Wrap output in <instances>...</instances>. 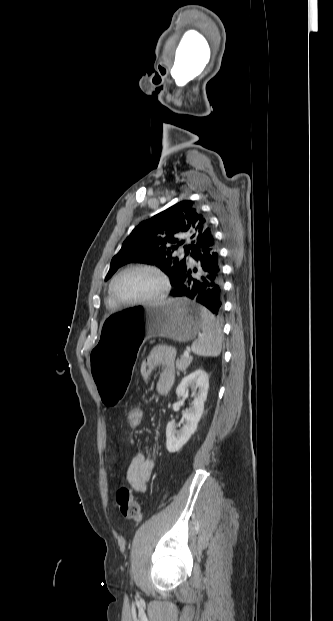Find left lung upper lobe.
Instances as JSON below:
<instances>
[{
    "instance_id": "5c2ea615",
    "label": "left lung upper lobe",
    "mask_w": 333,
    "mask_h": 621,
    "mask_svg": "<svg viewBox=\"0 0 333 621\" xmlns=\"http://www.w3.org/2000/svg\"><path fill=\"white\" fill-rule=\"evenodd\" d=\"M207 228V219L192 201L173 205L134 228L113 257L105 280L124 264L137 262L157 266L174 286L179 272L186 269V256ZM181 245H184L185 257H173V252Z\"/></svg>"
}]
</instances>
